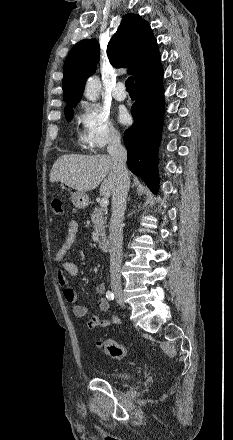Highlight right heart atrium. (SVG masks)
<instances>
[{
	"label": "right heart atrium",
	"instance_id": "obj_1",
	"mask_svg": "<svg viewBox=\"0 0 233 440\" xmlns=\"http://www.w3.org/2000/svg\"><path fill=\"white\" fill-rule=\"evenodd\" d=\"M77 121L81 127L80 144L91 153H99L119 140V133L108 112L97 104L82 103Z\"/></svg>",
	"mask_w": 233,
	"mask_h": 440
}]
</instances>
